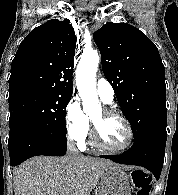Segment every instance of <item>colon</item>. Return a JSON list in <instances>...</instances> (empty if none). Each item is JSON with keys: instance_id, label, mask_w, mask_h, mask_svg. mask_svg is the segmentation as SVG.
<instances>
[{"instance_id": "obj_1", "label": "colon", "mask_w": 178, "mask_h": 195, "mask_svg": "<svg viewBox=\"0 0 178 195\" xmlns=\"http://www.w3.org/2000/svg\"><path fill=\"white\" fill-rule=\"evenodd\" d=\"M133 181L137 188L136 195H149L151 189V180L150 177L142 172V171H135L133 173Z\"/></svg>"}]
</instances>
